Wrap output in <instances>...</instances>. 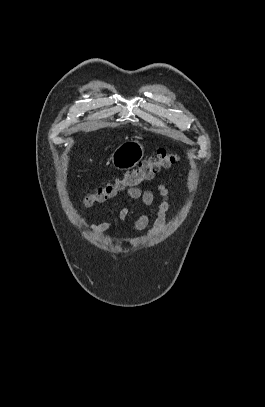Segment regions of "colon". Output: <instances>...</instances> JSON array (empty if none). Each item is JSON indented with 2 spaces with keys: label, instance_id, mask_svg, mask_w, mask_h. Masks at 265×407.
I'll return each mask as SVG.
<instances>
[{
  "label": "colon",
  "instance_id": "colon-1",
  "mask_svg": "<svg viewBox=\"0 0 265 407\" xmlns=\"http://www.w3.org/2000/svg\"><path fill=\"white\" fill-rule=\"evenodd\" d=\"M177 161L176 154L165 149L159 150L155 156L143 160L136 168L126 171L122 177L104 182L89 190L84 198V204L91 206L102 203L126 189L138 187L152 180L161 170L170 168Z\"/></svg>",
  "mask_w": 265,
  "mask_h": 407
}]
</instances>
